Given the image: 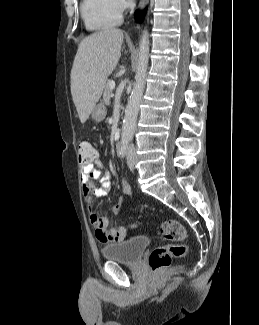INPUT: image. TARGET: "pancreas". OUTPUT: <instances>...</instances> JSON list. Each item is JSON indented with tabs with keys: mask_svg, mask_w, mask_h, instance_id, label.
Returning <instances> with one entry per match:
<instances>
[{
	"mask_svg": "<svg viewBox=\"0 0 259 325\" xmlns=\"http://www.w3.org/2000/svg\"><path fill=\"white\" fill-rule=\"evenodd\" d=\"M111 81H107L105 88H104V93H103V103L105 105H109L110 104V98L112 96V89L109 86V83Z\"/></svg>",
	"mask_w": 259,
	"mask_h": 325,
	"instance_id": "pancreas-1",
	"label": "pancreas"
}]
</instances>
